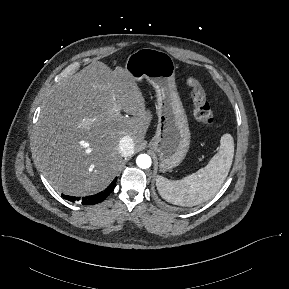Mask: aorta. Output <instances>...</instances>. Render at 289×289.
I'll return each instance as SVG.
<instances>
[{
  "instance_id": "aorta-1",
  "label": "aorta",
  "mask_w": 289,
  "mask_h": 289,
  "mask_svg": "<svg viewBox=\"0 0 289 289\" xmlns=\"http://www.w3.org/2000/svg\"><path fill=\"white\" fill-rule=\"evenodd\" d=\"M136 163L139 168L147 169L151 166L152 160L151 157L147 154H140L137 159Z\"/></svg>"
}]
</instances>
